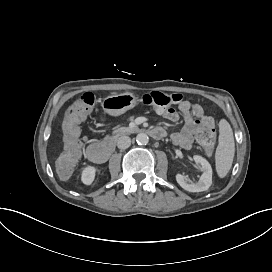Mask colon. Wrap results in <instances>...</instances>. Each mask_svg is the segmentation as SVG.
<instances>
[{"instance_id":"1","label":"colon","mask_w":272,"mask_h":272,"mask_svg":"<svg viewBox=\"0 0 272 272\" xmlns=\"http://www.w3.org/2000/svg\"><path fill=\"white\" fill-rule=\"evenodd\" d=\"M178 94H165L153 91L142 97V103L150 106L152 111L165 109L176 101L180 100ZM97 101V96L92 92H86L79 96L64 113L65 134L62 140V155L60 162L57 163V175L60 179L66 180L70 177L71 171L78 168V158L81 155L80 141L81 137L77 129L79 121L84 116L92 115V107ZM198 140L202 143L205 150L211 149L216 141V135L211 121H206L204 129L198 134Z\"/></svg>"}]
</instances>
